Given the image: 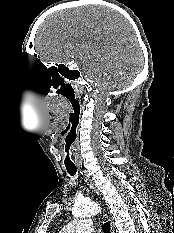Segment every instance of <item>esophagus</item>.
<instances>
[{
  "mask_svg": "<svg viewBox=\"0 0 174 233\" xmlns=\"http://www.w3.org/2000/svg\"><path fill=\"white\" fill-rule=\"evenodd\" d=\"M85 180H86V182L88 183V185L90 186V188H91L95 193H97V194L99 195V191L96 189L94 182H93V181L89 178V176L86 175V174H85ZM104 217H105V218L109 221V223H110V232H111V233H115V229H114V226H113V222H112L111 218L109 217V215L105 213V214H104Z\"/></svg>",
  "mask_w": 174,
  "mask_h": 233,
  "instance_id": "34e87169",
  "label": "esophagus"
}]
</instances>
